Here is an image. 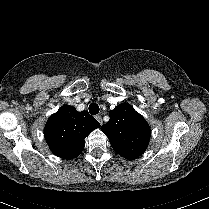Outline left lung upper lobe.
<instances>
[{"label":"left lung upper lobe","instance_id":"left-lung-upper-lobe-1","mask_svg":"<svg viewBox=\"0 0 209 209\" xmlns=\"http://www.w3.org/2000/svg\"><path fill=\"white\" fill-rule=\"evenodd\" d=\"M110 120L101 126L112 148L120 156L133 160L146 150L151 130L146 120L128 103L109 112Z\"/></svg>","mask_w":209,"mask_h":209}]
</instances>
